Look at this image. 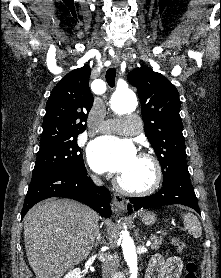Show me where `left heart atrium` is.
Instances as JSON below:
<instances>
[{
	"label": "left heart atrium",
	"mask_w": 221,
	"mask_h": 278,
	"mask_svg": "<svg viewBox=\"0 0 221 278\" xmlns=\"http://www.w3.org/2000/svg\"><path fill=\"white\" fill-rule=\"evenodd\" d=\"M136 157V149L131 142L112 136L99 137L87 148L89 165L98 173L121 175Z\"/></svg>",
	"instance_id": "obj_1"
}]
</instances>
